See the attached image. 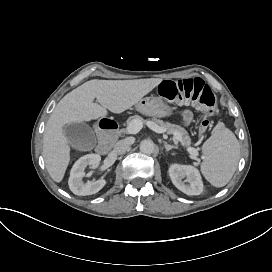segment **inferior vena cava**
I'll list each match as a JSON object with an SVG mask.
<instances>
[{"instance_id": "602c4592", "label": "inferior vena cava", "mask_w": 272, "mask_h": 272, "mask_svg": "<svg viewBox=\"0 0 272 272\" xmlns=\"http://www.w3.org/2000/svg\"><path fill=\"white\" fill-rule=\"evenodd\" d=\"M129 149V144L125 140L118 141L114 146V151L117 154H123Z\"/></svg>"}]
</instances>
